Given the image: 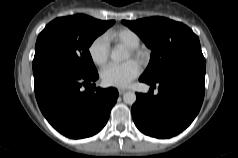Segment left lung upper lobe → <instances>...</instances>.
I'll return each instance as SVG.
<instances>
[{
  "label": "left lung upper lobe",
  "instance_id": "5c2ea615",
  "mask_svg": "<svg viewBox=\"0 0 238 158\" xmlns=\"http://www.w3.org/2000/svg\"><path fill=\"white\" fill-rule=\"evenodd\" d=\"M152 50L151 59L139 79L155 82L167 71L192 62H205L199 38L186 25L164 17L122 21Z\"/></svg>",
  "mask_w": 238,
  "mask_h": 158
}]
</instances>
